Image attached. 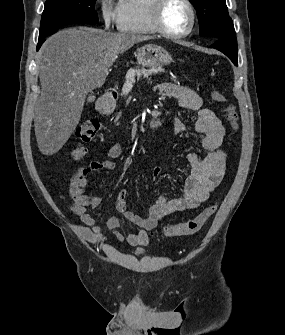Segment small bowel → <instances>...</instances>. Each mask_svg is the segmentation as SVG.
<instances>
[{
    "label": "small bowel",
    "instance_id": "small-bowel-1",
    "mask_svg": "<svg viewBox=\"0 0 285 335\" xmlns=\"http://www.w3.org/2000/svg\"><path fill=\"white\" fill-rule=\"evenodd\" d=\"M158 91L165 97L174 98L177 105L195 114L194 130L200 145L205 150L204 157L196 153H189L187 160L190 165V175L185 181L183 192L177 198L158 197L148 208L146 216H139L127 208L126 190H120L117 196V206L123 217L135 224L139 230L135 233L123 235L119 232L120 219L110 217L103 222L115 237L132 246L144 247L148 244V231L152 230L164 216L175 212L186 211L198 207L208 199L223 179L226 168V155L221 149V143L225 136V128L215 113L203 107L199 94L186 85L174 83H162L157 86ZM173 128L177 134L187 131L186 125L177 117L173 120ZM123 148L119 143L110 146L104 159L93 160L86 167L80 168L70 182V196L73 204L71 213L77 218L78 233L90 243L103 244L106 237L102 234L101 225L86 210L98 208L101 198H92L85 194V187L89 177L99 171H112L116 168L115 159L122 154ZM161 169L153 171L157 177Z\"/></svg>",
    "mask_w": 285,
    "mask_h": 335
}]
</instances>
